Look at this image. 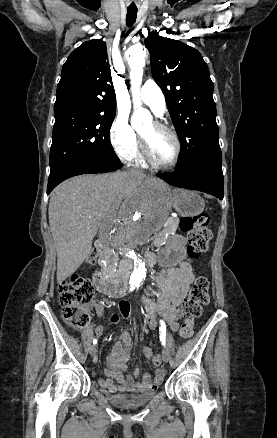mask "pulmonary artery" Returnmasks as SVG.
<instances>
[{"label":"pulmonary artery","mask_w":277,"mask_h":438,"mask_svg":"<svg viewBox=\"0 0 277 438\" xmlns=\"http://www.w3.org/2000/svg\"><path fill=\"white\" fill-rule=\"evenodd\" d=\"M154 81V78L151 77L148 81L144 82L143 95L137 97V100L149 106L156 116L162 117L166 110L165 90L163 87H155Z\"/></svg>","instance_id":"obj_1"}]
</instances>
